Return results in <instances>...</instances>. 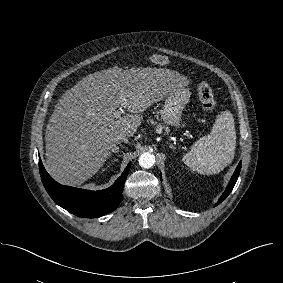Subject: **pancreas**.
<instances>
[{
	"instance_id": "cf45deb5",
	"label": "pancreas",
	"mask_w": 283,
	"mask_h": 283,
	"mask_svg": "<svg viewBox=\"0 0 283 283\" xmlns=\"http://www.w3.org/2000/svg\"><path fill=\"white\" fill-rule=\"evenodd\" d=\"M156 128L159 129V130L164 129L166 132H169L168 127H163L161 124L157 125Z\"/></svg>"
}]
</instances>
